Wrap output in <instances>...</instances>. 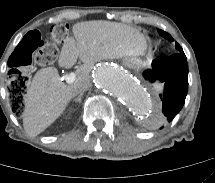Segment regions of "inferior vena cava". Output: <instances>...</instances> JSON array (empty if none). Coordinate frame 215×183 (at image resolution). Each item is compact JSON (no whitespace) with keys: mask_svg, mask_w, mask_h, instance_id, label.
Returning a JSON list of instances; mask_svg holds the SVG:
<instances>
[{"mask_svg":"<svg viewBox=\"0 0 215 183\" xmlns=\"http://www.w3.org/2000/svg\"><path fill=\"white\" fill-rule=\"evenodd\" d=\"M91 86L90 79H80L74 83V93L81 94L88 90Z\"/></svg>","mask_w":215,"mask_h":183,"instance_id":"1","label":"inferior vena cava"}]
</instances>
